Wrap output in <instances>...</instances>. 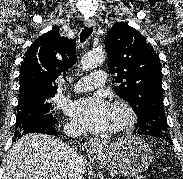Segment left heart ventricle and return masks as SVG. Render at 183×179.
I'll return each mask as SVG.
<instances>
[{
	"mask_svg": "<svg viewBox=\"0 0 183 179\" xmlns=\"http://www.w3.org/2000/svg\"><path fill=\"white\" fill-rule=\"evenodd\" d=\"M123 119V113L118 110V109H114V108H110V122H109V129L118 124L119 122H121Z\"/></svg>",
	"mask_w": 183,
	"mask_h": 179,
	"instance_id": "b2bd125f",
	"label": "left heart ventricle"
}]
</instances>
